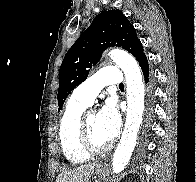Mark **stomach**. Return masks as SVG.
<instances>
[{
    "mask_svg": "<svg viewBox=\"0 0 196 182\" xmlns=\"http://www.w3.org/2000/svg\"><path fill=\"white\" fill-rule=\"evenodd\" d=\"M96 174L100 177V178H104L106 176V168L103 167V165H97L96 168Z\"/></svg>",
    "mask_w": 196,
    "mask_h": 182,
    "instance_id": "0dacf381",
    "label": "stomach"
}]
</instances>
